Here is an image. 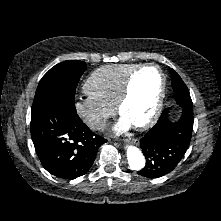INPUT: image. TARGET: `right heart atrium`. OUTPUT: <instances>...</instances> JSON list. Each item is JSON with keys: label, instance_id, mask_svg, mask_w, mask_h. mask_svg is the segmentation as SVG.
I'll return each instance as SVG.
<instances>
[{"label": "right heart atrium", "instance_id": "d8ad5b80", "mask_svg": "<svg viewBox=\"0 0 221 221\" xmlns=\"http://www.w3.org/2000/svg\"><path fill=\"white\" fill-rule=\"evenodd\" d=\"M74 106L81 120L96 131L103 130L108 118L114 113L112 107L106 106L90 96L79 98Z\"/></svg>", "mask_w": 221, "mask_h": 221}]
</instances>
